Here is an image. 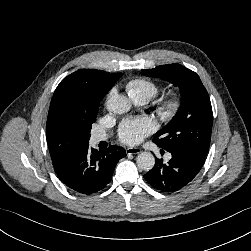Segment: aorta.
Segmentation results:
<instances>
[{
  "label": "aorta",
  "mask_w": 251,
  "mask_h": 251,
  "mask_svg": "<svg viewBox=\"0 0 251 251\" xmlns=\"http://www.w3.org/2000/svg\"><path fill=\"white\" fill-rule=\"evenodd\" d=\"M131 108L130 100L124 95H112L107 102V109L114 114H124ZM137 165L141 170L149 171L155 165V158L150 152H141L137 156Z\"/></svg>",
  "instance_id": "obj_1"
}]
</instances>
